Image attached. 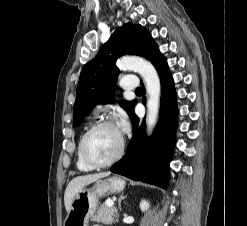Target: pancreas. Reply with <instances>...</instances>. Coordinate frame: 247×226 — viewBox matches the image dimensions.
I'll list each match as a JSON object with an SVG mask.
<instances>
[{"label": "pancreas", "instance_id": "pancreas-1", "mask_svg": "<svg viewBox=\"0 0 247 226\" xmlns=\"http://www.w3.org/2000/svg\"><path fill=\"white\" fill-rule=\"evenodd\" d=\"M92 220L104 224H112L117 221V210L114 207H109L106 203L102 204L97 214L92 217Z\"/></svg>", "mask_w": 247, "mask_h": 226}]
</instances>
